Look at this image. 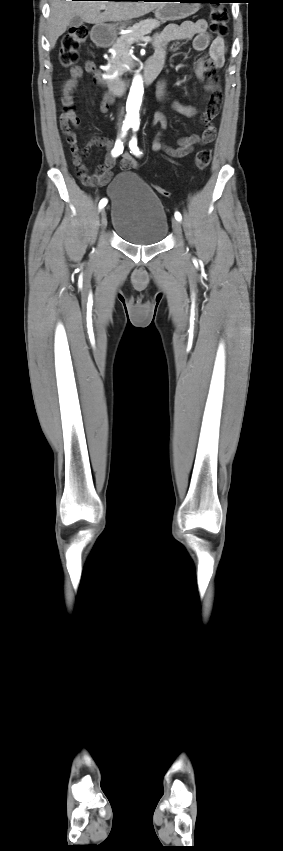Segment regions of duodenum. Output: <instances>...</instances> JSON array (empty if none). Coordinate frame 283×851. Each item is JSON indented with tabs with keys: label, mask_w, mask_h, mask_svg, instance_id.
I'll return each instance as SVG.
<instances>
[{
	"label": "duodenum",
	"mask_w": 283,
	"mask_h": 851,
	"mask_svg": "<svg viewBox=\"0 0 283 851\" xmlns=\"http://www.w3.org/2000/svg\"><path fill=\"white\" fill-rule=\"evenodd\" d=\"M94 41L102 47L109 45L110 37L108 33L103 29H97L94 33ZM163 67V62L156 58H151L147 64L145 70V81L146 83H151L155 80V78L160 73ZM111 82V87L108 89V93L114 96H120L125 92L126 82L121 78H115L109 80Z\"/></svg>",
	"instance_id": "1"
}]
</instances>
